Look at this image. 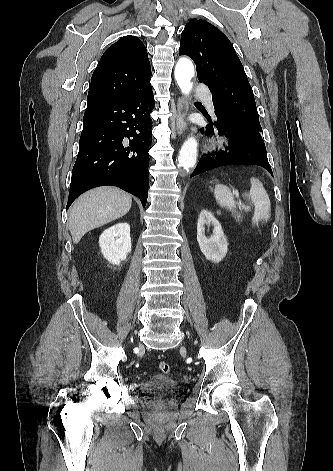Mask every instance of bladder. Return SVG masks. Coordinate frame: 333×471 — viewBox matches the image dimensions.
Wrapping results in <instances>:
<instances>
[{
	"mask_svg": "<svg viewBox=\"0 0 333 471\" xmlns=\"http://www.w3.org/2000/svg\"><path fill=\"white\" fill-rule=\"evenodd\" d=\"M177 381L164 374H156L140 385V390L143 393L165 395L173 392L177 388Z\"/></svg>",
	"mask_w": 333,
	"mask_h": 471,
	"instance_id": "obj_1",
	"label": "bladder"
}]
</instances>
